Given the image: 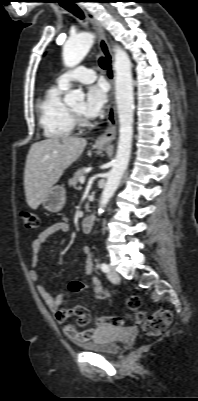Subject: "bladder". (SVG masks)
<instances>
[{"label":"bladder","mask_w":198,"mask_h":401,"mask_svg":"<svg viewBox=\"0 0 198 401\" xmlns=\"http://www.w3.org/2000/svg\"><path fill=\"white\" fill-rule=\"evenodd\" d=\"M123 330L120 327H105L92 342L85 343L83 347L91 352L117 355L121 349L118 341Z\"/></svg>","instance_id":"bladder-1"}]
</instances>
